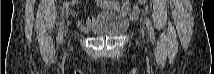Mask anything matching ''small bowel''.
I'll use <instances>...</instances> for the list:
<instances>
[{
	"instance_id": "1",
	"label": "small bowel",
	"mask_w": 214,
	"mask_h": 74,
	"mask_svg": "<svg viewBox=\"0 0 214 74\" xmlns=\"http://www.w3.org/2000/svg\"><path fill=\"white\" fill-rule=\"evenodd\" d=\"M96 4L99 9L104 10V11L121 7L122 13L125 16L130 17V18H137L140 13L139 6H134L133 8H131L128 2H123L120 5L118 2L99 0L96 2ZM66 8H68V6H65V9ZM69 12L72 16L76 17V25L83 32L90 31L92 26L95 24V22L98 19V16H90L86 20H84L83 18L78 16L76 11L70 10Z\"/></svg>"
}]
</instances>
